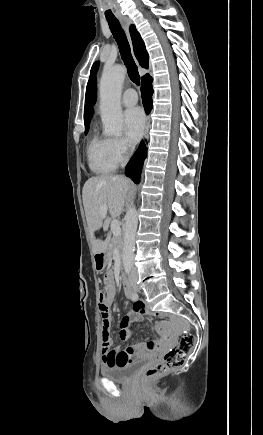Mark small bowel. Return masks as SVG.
Listing matches in <instances>:
<instances>
[{
	"mask_svg": "<svg viewBox=\"0 0 263 435\" xmlns=\"http://www.w3.org/2000/svg\"><path fill=\"white\" fill-rule=\"evenodd\" d=\"M105 294L104 299L99 303V309L102 319L103 328H111L112 314L111 306L116 298V286L115 277L112 271H107L104 276ZM144 305L142 302L134 304V311L125 315L119 323V337L125 341L130 337V324L134 321H140L142 319V313H144ZM165 324H159L158 330L163 332ZM175 339L172 336H162L160 341H147L144 344H139L134 348H128L121 350L120 348H114V350H102V361L106 366H120L143 358H149L159 355L165 350L167 345H172Z\"/></svg>",
	"mask_w": 263,
	"mask_h": 435,
	"instance_id": "obj_1",
	"label": "small bowel"
}]
</instances>
